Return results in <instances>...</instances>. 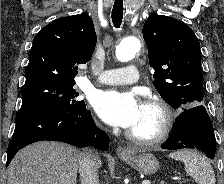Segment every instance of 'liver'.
Returning <instances> with one entry per match:
<instances>
[{"instance_id":"1","label":"liver","mask_w":224,"mask_h":184,"mask_svg":"<svg viewBox=\"0 0 224 184\" xmlns=\"http://www.w3.org/2000/svg\"><path fill=\"white\" fill-rule=\"evenodd\" d=\"M80 154L75 147L60 142L31 144L11 161L7 184H76ZM96 165H102L99 158Z\"/></svg>"}]
</instances>
